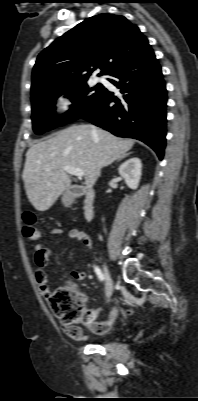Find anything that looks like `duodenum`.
I'll use <instances>...</instances> for the list:
<instances>
[{"mask_svg": "<svg viewBox=\"0 0 198 401\" xmlns=\"http://www.w3.org/2000/svg\"><path fill=\"white\" fill-rule=\"evenodd\" d=\"M82 195L84 197L83 214L86 221H91L95 217V191L90 187L76 186L72 188L70 199Z\"/></svg>", "mask_w": 198, "mask_h": 401, "instance_id": "duodenum-1", "label": "duodenum"}]
</instances>
